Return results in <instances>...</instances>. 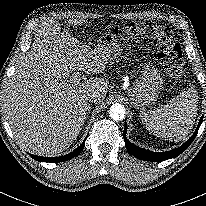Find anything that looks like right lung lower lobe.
I'll return each instance as SVG.
<instances>
[{
  "label": "right lung lower lobe",
  "instance_id": "1",
  "mask_svg": "<svg viewBox=\"0 0 206 206\" xmlns=\"http://www.w3.org/2000/svg\"><path fill=\"white\" fill-rule=\"evenodd\" d=\"M84 143L85 140L83 141V143L76 148L74 151H72L71 153L64 155V156H59V157H42V156H36V155H31V157L37 161H41V162H62V161H66L69 160L71 158H74L75 156H77L79 153H81V151L84 148Z\"/></svg>",
  "mask_w": 206,
  "mask_h": 206
}]
</instances>
